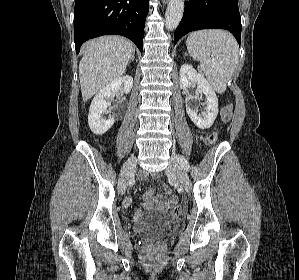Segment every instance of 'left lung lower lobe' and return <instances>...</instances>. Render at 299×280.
Wrapping results in <instances>:
<instances>
[{"mask_svg":"<svg viewBox=\"0 0 299 280\" xmlns=\"http://www.w3.org/2000/svg\"><path fill=\"white\" fill-rule=\"evenodd\" d=\"M219 28L229 30L241 41V18L238 0H190L174 34V44L188 32Z\"/></svg>","mask_w":299,"mask_h":280,"instance_id":"left-lung-lower-lobe-1","label":"left lung lower lobe"}]
</instances>
